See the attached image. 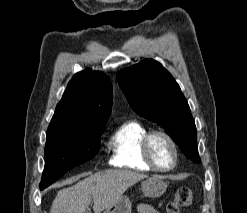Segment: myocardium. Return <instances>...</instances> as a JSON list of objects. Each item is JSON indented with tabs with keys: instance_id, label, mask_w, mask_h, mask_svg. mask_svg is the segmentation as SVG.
<instances>
[{
	"instance_id": "obj_1",
	"label": "myocardium",
	"mask_w": 247,
	"mask_h": 213,
	"mask_svg": "<svg viewBox=\"0 0 247 213\" xmlns=\"http://www.w3.org/2000/svg\"><path fill=\"white\" fill-rule=\"evenodd\" d=\"M156 136H161V137L165 138L168 141V143L170 144V146H171V148L173 150V154H174L173 163L168 168L160 167L157 164V162L154 160V158H153L152 151H151V144H152V140ZM141 151H142V156H143L144 160L146 161V163L149 166H151L153 170H156V171H159V172H170V171H172L177 166L178 161H179V151H178V147H177V144H176L175 140L172 138V136L170 134H168L167 132L162 131V130L149 131L144 136V138L142 140Z\"/></svg>"
}]
</instances>
